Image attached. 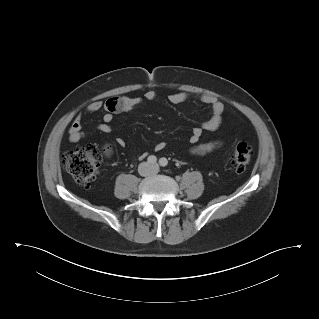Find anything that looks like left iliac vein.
<instances>
[{"instance_id":"1","label":"left iliac vein","mask_w":319,"mask_h":319,"mask_svg":"<svg viewBox=\"0 0 319 319\" xmlns=\"http://www.w3.org/2000/svg\"><path fill=\"white\" fill-rule=\"evenodd\" d=\"M153 168H154V169H158V166H157V165H154Z\"/></svg>"}]
</instances>
